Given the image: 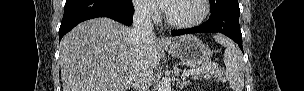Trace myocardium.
Masks as SVG:
<instances>
[{"instance_id": "myocardium-1", "label": "myocardium", "mask_w": 304, "mask_h": 91, "mask_svg": "<svg viewBox=\"0 0 304 91\" xmlns=\"http://www.w3.org/2000/svg\"><path fill=\"white\" fill-rule=\"evenodd\" d=\"M170 1H175V0H170ZM170 1H167V3ZM199 2L202 6V12H201L200 16L198 18H196L195 20L188 21V22H178V21L172 20L167 13V5H164V16H165V20H166L167 24L172 27H175V28L188 29V28L196 27V26L200 25L201 23H203L210 12V1L209 0H199Z\"/></svg>"}]
</instances>
